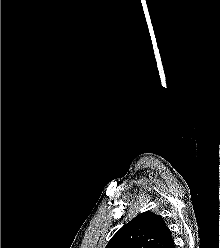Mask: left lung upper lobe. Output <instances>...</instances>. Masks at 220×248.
<instances>
[{
	"label": "left lung upper lobe",
	"instance_id": "obj_1",
	"mask_svg": "<svg viewBox=\"0 0 220 248\" xmlns=\"http://www.w3.org/2000/svg\"><path fill=\"white\" fill-rule=\"evenodd\" d=\"M172 243L162 216L146 211L119 229L106 248H169Z\"/></svg>",
	"mask_w": 220,
	"mask_h": 248
}]
</instances>
